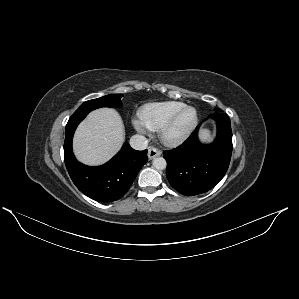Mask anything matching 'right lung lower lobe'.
Returning <instances> with one entry per match:
<instances>
[{"mask_svg":"<svg viewBox=\"0 0 299 299\" xmlns=\"http://www.w3.org/2000/svg\"><path fill=\"white\" fill-rule=\"evenodd\" d=\"M86 113L73 114L66 125L64 160L76 187L86 196L100 202L120 199L130 188L139 170L147 162V150L137 151L125 143L121 151L104 165L91 167L76 160L72 139Z\"/></svg>","mask_w":299,"mask_h":299,"instance_id":"98d812e1","label":"right lung lower lobe"}]
</instances>
